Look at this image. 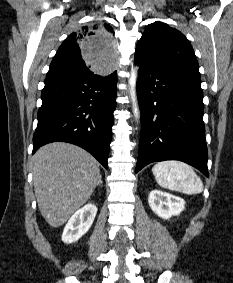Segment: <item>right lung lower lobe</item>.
<instances>
[{
  "label": "right lung lower lobe",
  "mask_w": 233,
  "mask_h": 283,
  "mask_svg": "<svg viewBox=\"0 0 233 283\" xmlns=\"http://www.w3.org/2000/svg\"><path fill=\"white\" fill-rule=\"evenodd\" d=\"M44 83L33 154L47 143L69 142L90 152L107 169L116 108V71L46 77Z\"/></svg>",
  "instance_id": "right-lung-lower-lobe-1"
}]
</instances>
